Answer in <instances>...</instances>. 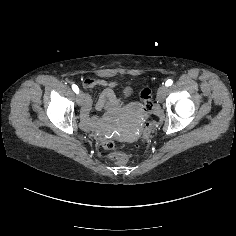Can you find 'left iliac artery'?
I'll list each match as a JSON object with an SVG mask.
<instances>
[{"label":"left iliac artery","mask_w":236,"mask_h":236,"mask_svg":"<svg viewBox=\"0 0 236 236\" xmlns=\"http://www.w3.org/2000/svg\"><path fill=\"white\" fill-rule=\"evenodd\" d=\"M173 81L171 79H168L165 83L166 86H171Z\"/></svg>","instance_id":"44dca946"}]
</instances>
